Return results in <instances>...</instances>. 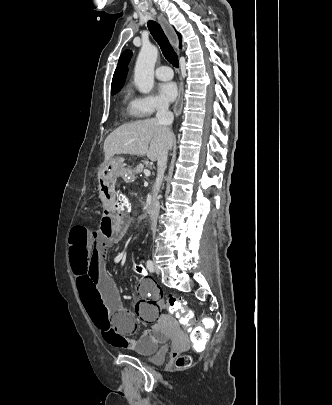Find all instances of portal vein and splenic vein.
Returning <instances> with one entry per match:
<instances>
[{"label": "portal vein and splenic vein", "mask_w": 332, "mask_h": 405, "mask_svg": "<svg viewBox=\"0 0 332 405\" xmlns=\"http://www.w3.org/2000/svg\"><path fill=\"white\" fill-rule=\"evenodd\" d=\"M144 174H145V176L148 177V176H150V171L146 169V170H144Z\"/></svg>", "instance_id": "obj_1"}]
</instances>
